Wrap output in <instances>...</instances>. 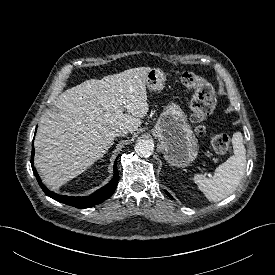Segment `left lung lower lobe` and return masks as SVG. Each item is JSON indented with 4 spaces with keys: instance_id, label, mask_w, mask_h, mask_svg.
<instances>
[{
    "instance_id": "1",
    "label": "left lung lower lobe",
    "mask_w": 275,
    "mask_h": 275,
    "mask_svg": "<svg viewBox=\"0 0 275 275\" xmlns=\"http://www.w3.org/2000/svg\"><path fill=\"white\" fill-rule=\"evenodd\" d=\"M166 194L169 196V197H171V195L168 193V192H166ZM172 198V197H171Z\"/></svg>"
}]
</instances>
